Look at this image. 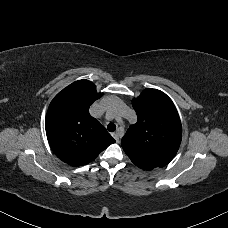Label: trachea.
<instances>
[{"label":"trachea","mask_w":228,"mask_h":228,"mask_svg":"<svg viewBox=\"0 0 228 228\" xmlns=\"http://www.w3.org/2000/svg\"><path fill=\"white\" fill-rule=\"evenodd\" d=\"M116 128H117V126H116L114 123H110V124H108V126H107V130H108L109 132H114V131L116 130Z\"/></svg>","instance_id":"3493384b"}]
</instances>
